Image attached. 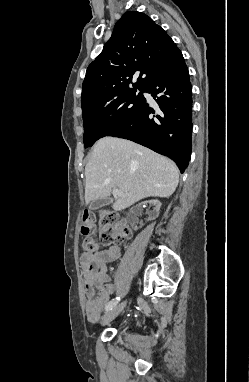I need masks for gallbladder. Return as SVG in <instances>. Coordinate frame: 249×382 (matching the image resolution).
Returning <instances> with one entry per match:
<instances>
[{
  "label": "gallbladder",
  "mask_w": 249,
  "mask_h": 382,
  "mask_svg": "<svg viewBox=\"0 0 249 382\" xmlns=\"http://www.w3.org/2000/svg\"><path fill=\"white\" fill-rule=\"evenodd\" d=\"M109 203H110L109 198H98V199L93 200L90 203L89 208L91 210H97V209H100V208L108 205Z\"/></svg>",
  "instance_id": "bac80fb5"
}]
</instances>
